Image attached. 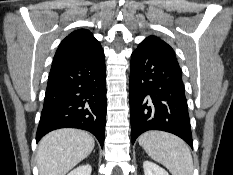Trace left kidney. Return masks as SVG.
I'll list each match as a JSON object with an SVG mask.
<instances>
[{"label":"left kidney","mask_w":233,"mask_h":175,"mask_svg":"<svg viewBox=\"0 0 233 175\" xmlns=\"http://www.w3.org/2000/svg\"><path fill=\"white\" fill-rule=\"evenodd\" d=\"M144 175H169L168 172L151 161L143 163Z\"/></svg>","instance_id":"5707ae66"}]
</instances>
